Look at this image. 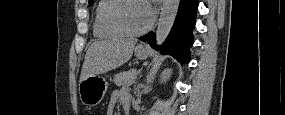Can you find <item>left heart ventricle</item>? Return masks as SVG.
<instances>
[{"mask_svg": "<svg viewBox=\"0 0 285 115\" xmlns=\"http://www.w3.org/2000/svg\"><path fill=\"white\" fill-rule=\"evenodd\" d=\"M119 19L132 31L144 28L147 25V21L143 3L134 1L125 4L119 12Z\"/></svg>", "mask_w": 285, "mask_h": 115, "instance_id": "obj_1", "label": "left heart ventricle"}]
</instances>
